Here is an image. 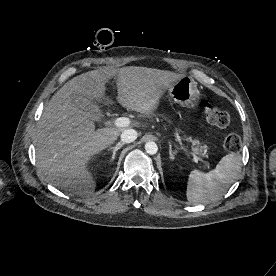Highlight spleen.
Instances as JSON below:
<instances>
[{"label":"spleen","instance_id":"1","mask_svg":"<svg viewBox=\"0 0 276 276\" xmlns=\"http://www.w3.org/2000/svg\"><path fill=\"white\" fill-rule=\"evenodd\" d=\"M240 168V154L231 153L224 156L210 172L191 171L186 191L188 202L207 204L221 198L238 176Z\"/></svg>","mask_w":276,"mask_h":276}]
</instances>
